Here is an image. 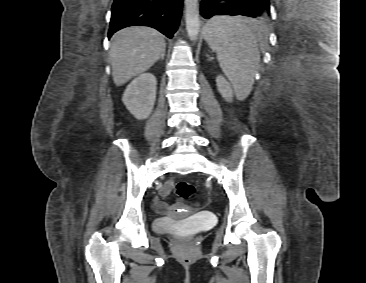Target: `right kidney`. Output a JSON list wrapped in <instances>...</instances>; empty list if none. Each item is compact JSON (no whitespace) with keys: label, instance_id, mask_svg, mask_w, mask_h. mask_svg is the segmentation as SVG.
I'll return each instance as SVG.
<instances>
[{"label":"right kidney","instance_id":"ca27d5eb","mask_svg":"<svg viewBox=\"0 0 366 283\" xmlns=\"http://www.w3.org/2000/svg\"><path fill=\"white\" fill-rule=\"evenodd\" d=\"M156 86V77L152 73L140 74L127 86L122 101L138 120L147 119L152 113Z\"/></svg>","mask_w":366,"mask_h":283}]
</instances>
